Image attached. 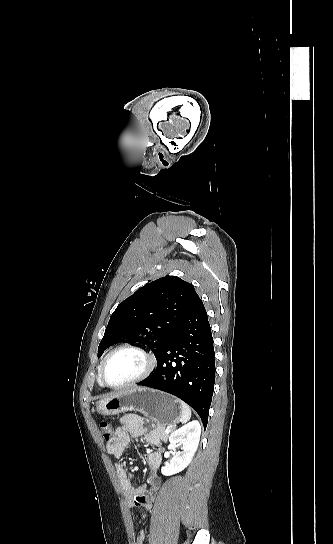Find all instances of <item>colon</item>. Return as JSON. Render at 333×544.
<instances>
[{
    "mask_svg": "<svg viewBox=\"0 0 333 544\" xmlns=\"http://www.w3.org/2000/svg\"><path fill=\"white\" fill-rule=\"evenodd\" d=\"M99 429L101 431V434L103 436V438L106 440V441H109L112 437V428L110 426V424L106 421H100L99 422Z\"/></svg>",
    "mask_w": 333,
    "mask_h": 544,
    "instance_id": "colon-1",
    "label": "colon"
}]
</instances>
